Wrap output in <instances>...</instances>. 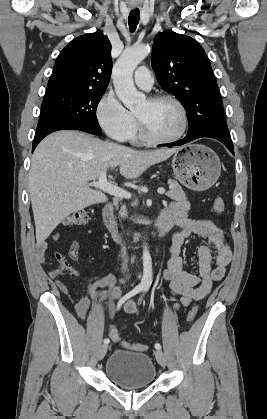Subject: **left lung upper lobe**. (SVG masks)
Returning a JSON list of instances; mask_svg holds the SVG:
<instances>
[{"instance_id":"left-lung-upper-lobe-1","label":"left lung upper lobe","mask_w":267,"mask_h":419,"mask_svg":"<svg viewBox=\"0 0 267 419\" xmlns=\"http://www.w3.org/2000/svg\"><path fill=\"white\" fill-rule=\"evenodd\" d=\"M152 67L159 84L185 108L189 126L199 118L212 116V131L227 127L215 75L196 40L174 32L158 33L154 38Z\"/></svg>"}]
</instances>
